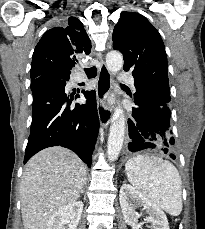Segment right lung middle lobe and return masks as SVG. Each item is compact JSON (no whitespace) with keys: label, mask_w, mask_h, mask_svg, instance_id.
Masks as SVG:
<instances>
[{"label":"right lung middle lobe","mask_w":205,"mask_h":229,"mask_svg":"<svg viewBox=\"0 0 205 229\" xmlns=\"http://www.w3.org/2000/svg\"><path fill=\"white\" fill-rule=\"evenodd\" d=\"M59 77L62 78V79H64V80H67V81L69 80V77L68 76H62V75H60Z\"/></svg>","instance_id":"1"}]
</instances>
